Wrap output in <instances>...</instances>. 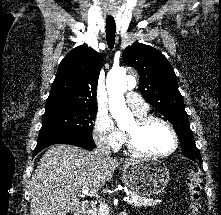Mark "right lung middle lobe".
<instances>
[{
    "label": "right lung middle lobe",
    "mask_w": 221,
    "mask_h": 215,
    "mask_svg": "<svg viewBox=\"0 0 221 215\" xmlns=\"http://www.w3.org/2000/svg\"><path fill=\"white\" fill-rule=\"evenodd\" d=\"M97 108H75L44 114L38 141L91 134Z\"/></svg>",
    "instance_id": "1"
}]
</instances>
